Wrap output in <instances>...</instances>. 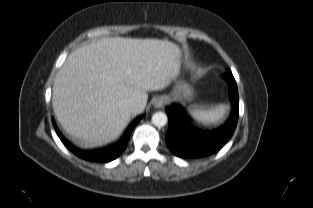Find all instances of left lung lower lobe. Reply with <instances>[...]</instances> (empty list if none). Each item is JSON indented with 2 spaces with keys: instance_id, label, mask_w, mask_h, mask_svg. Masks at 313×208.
Wrapping results in <instances>:
<instances>
[{
  "instance_id": "obj_1",
  "label": "left lung lower lobe",
  "mask_w": 313,
  "mask_h": 208,
  "mask_svg": "<svg viewBox=\"0 0 313 208\" xmlns=\"http://www.w3.org/2000/svg\"><path fill=\"white\" fill-rule=\"evenodd\" d=\"M231 103L233 111L223 126L214 130H201L192 126L185 109L168 107L166 109L169 128L166 143L172 153L181 158H198L211 155L220 150L233 135L239 116L238 89L235 79H231Z\"/></svg>"
}]
</instances>
